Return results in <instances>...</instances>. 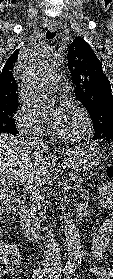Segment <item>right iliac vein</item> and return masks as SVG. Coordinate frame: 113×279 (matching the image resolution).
Instances as JSON below:
<instances>
[{
  "label": "right iliac vein",
  "instance_id": "1",
  "mask_svg": "<svg viewBox=\"0 0 113 279\" xmlns=\"http://www.w3.org/2000/svg\"><path fill=\"white\" fill-rule=\"evenodd\" d=\"M44 270L46 271V270H48V268H47V267H45V268H44Z\"/></svg>",
  "mask_w": 113,
  "mask_h": 279
}]
</instances>
